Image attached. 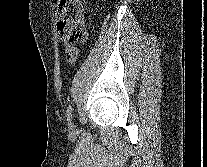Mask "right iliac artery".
Masks as SVG:
<instances>
[{
  "label": "right iliac artery",
  "instance_id": "1",
  "mask_svg": "<svg viewBox=\"0 0 207 167\" xmlns=\"http://www.w3.org/2000/svg\"><path fill=\"white\" fill-rule=\"evenodd\" d=\"M66 116H67V121L69 122V125H70L71 116H72V107H71V105H69V107L67 108Z\"/></svg>",
  "mask_w": 207,
  "mask_h": 167
}]
</instances>
